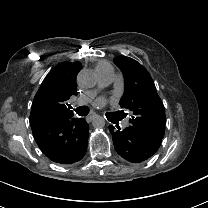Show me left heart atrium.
<instances>
[{"mask_svg": "<svg viewBox=\"0 0 208 208\" xmlns=\"http://www.w3.org/2000/svg\"><path fill=\"white\" fill-rule=\"evenodd\" d=\"M106 104V100L102 97L95 98L93 100V105L97 108H101Z\"/></svg>", "mask_w": 208, "mask_h": 208, "instance_id": "obj_1", "label": "left heart atrium"}]
</instances>
